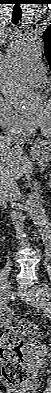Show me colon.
I'll use <instances>...</instances> for the list:
<instances>
[{
	"mask_svg": "<svg viewBox=\"0 0 51 393\" xmlns=\"http://www.w3.org/2000/svg\"><path fill=\"white\" fill-rule=\"evenodd\" d=\"M32 335L37 341L41 335L36 327L27 319H15L14 326L4 329L1 333L0 347L3 358V376L14 386H22L30 378L25 367L22 352L23 338Z\"/></svg>",
	"mask_w": 51,
	"mask_h": 393,
	"instance_id": "obj_1",
	"label": "colon"
}]
</instances>
